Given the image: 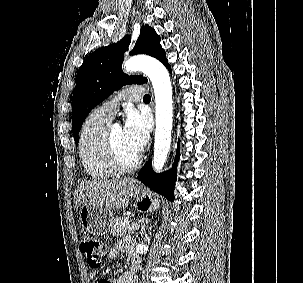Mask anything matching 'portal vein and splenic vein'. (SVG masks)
Segmentation results:
<instances>
[{"instance_id":"portal-vein-and-splenic-vein-1","label":"portal vein and splenic vein","mask_w":303,"mask_h":283,"mask_svg":"<svg viewBox=\"0 0 303 283\" xmlns=\"http://www.w3.org/2000/svg\"><path fill=\"white\" fill-rule=\"evenodd\" d=\"M125 224V223H124ZM139 227H140V225L139 224H133V226L131 227V230H137V229H139Z\"/></svg>"}]
</instances>
